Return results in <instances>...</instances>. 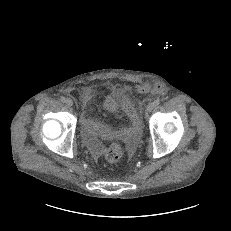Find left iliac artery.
<instances>
[{"mask_svg":"<svg viewBox=\"0 0 231 231\" xmlns=\"http://www.w3.org/2000/svg\"><path fill=\"white\" fill-rule=\"evenodd\" d=\"M153 103H154L155 106H157V105L160 104V100L159 99H155Z\"/></svg>","mask_w":231,"mask_h":231,"instance_id":"obj_1","label":"left iliac artery"}]
</instances>
